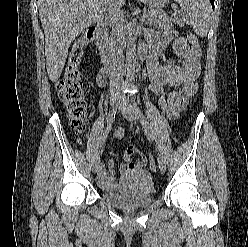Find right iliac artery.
I'll return each instance as SVG.
<instances>
[{"label":"right iliac artery","mask_w":248,"mask_h":247,"mask_svg":"<svg viewBox=\"0 0 248 247\" xmlns=\"http://www.w3.org/2000/svg\"><path fill=\"white\" fill-rule=\"evenodd\" d=\"M116 111H117L116 109H113L108 115L107 127H106V129H105V131H104V133L102 135V140H101V144H100V147H99V152L101 150L102 145L105 143V141H106V139L108 137V134H109V132H110V130L112 128L113 122L115 121Z\"/></svg>","instance_id":"82829eb1"}]
</instances>
